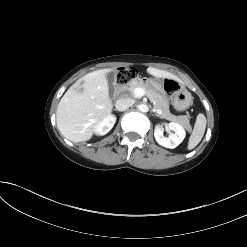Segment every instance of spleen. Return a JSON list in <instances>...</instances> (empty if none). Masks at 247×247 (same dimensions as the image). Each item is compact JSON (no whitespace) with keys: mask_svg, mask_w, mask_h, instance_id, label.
<instances>
[{"mask_svg":"<svg viewBox=\"0 0 247 247\" xmlns=\"http://www.w3.org/2000/svg\"><path fill=\"white\" fill-rule=\"evenodd\" d=\"M205 128H206V117L204 116V114L200 113L196 118L193 132L190 135L188 141V146H187L188 150H192L200 143V141L204 136Z\"/></svg>","mask_w":247,"mask_h":247,"instance_id":"3e777b00","label":"spleen"}]
</instances>
